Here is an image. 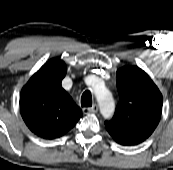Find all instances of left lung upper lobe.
<instances>
[{"label": "left lung upper lobe", "instance_id": "1", "mask_svg": "<svg viewBox=\"0 0 173 170\" xmlns=\"http://www.w3.org/2000/svg\"><path fill=\"white\" fill-rule=\"evenodd\" d=\"M119 103L114 117L105 122L112 138L121 145H137L157 127L163 98L150 77L137 66H124L117 73Z\"/></svg>", "mask_w": 173, "mask_h": 170}]
</instances>
